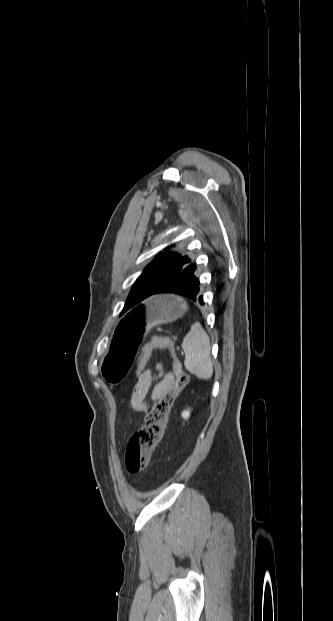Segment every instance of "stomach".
Returning <instances> with one entry per match:
<instances>
[{
    "label": "stomach",
    "mask_w": 333,
    "mask_h": 621,
    "mask_svg": "<svg viewBox=\"0 0 333 621\" xmlns=\"http://www.w3.org/2000/svg\"><path fill=\"white\" fill-rule=\"evenodd\" d=\"M186 305L170 295H157L129 313L119 324L104 352L101 372L112 388L121 385L122 379L134 368L141 352L145 326L173 322L182 316Z\"/></svg>",
    "instance_id": "0dacf381"
}]
</instances>
